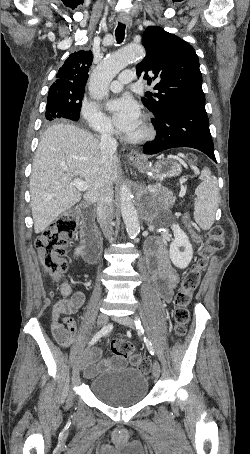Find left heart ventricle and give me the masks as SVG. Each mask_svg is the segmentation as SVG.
I'll list each match as a JSON object with an SVG mask.
<instances>
[{"mask_svg": "<svg viewBox=\"0 0 250 454\" xmlns=\"http://www.w3.org/2000/svg\"><path fill=\"white\" fill-rule=\"evenodd\" d=\"M142 132V126H141V122H139V124L134 128L132 129L130 132L127 133L128 136H138L140 135Z\"/></svg>", "mask_w": 250, "mask_h": 454, "instance_id": "left-heart-ventricle-1", "label": "left heart ventricle"}]
</instances>
